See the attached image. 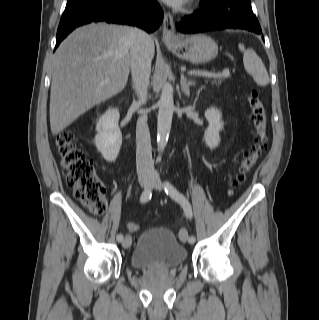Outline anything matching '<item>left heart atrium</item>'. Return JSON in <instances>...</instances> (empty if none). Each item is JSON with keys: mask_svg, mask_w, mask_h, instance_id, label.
Here are the masks:
<instances>
[{"mask_svg": "<svg viewBox=\"0 0 319 320\" xmlns=\"http://www.w3.org/2000/svg\"><path fill=\"white\" fill-rule=\"evenodd\" d=\"M163 1L171 6L176 7V6L182 5L186 0H163Z\"/></svg>", "mask_w": 319, "mask_h": 320, "instance_id": "39dd6f15", "label": "left heart atrium"}]
</instances>
